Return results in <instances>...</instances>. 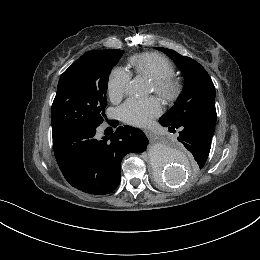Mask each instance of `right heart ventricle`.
Here are the masks:
<instances>
[{"label":"right heart ventricle","instance_id":"e07e8e85","mask_svg":"<svg viewBox=\"0 0 260 260\" xmlns=\"http://www.w3.org/2000/svg\"><path fill=\"white\" fill-rule=\"evenodd\" d=\"M129 62L136 74L146 76L151 80L165 78L174 73L171 61L155 52L133 55L129 58Z\"/></svg>","mask_w":260,"mask_h":260}]
</instances>
